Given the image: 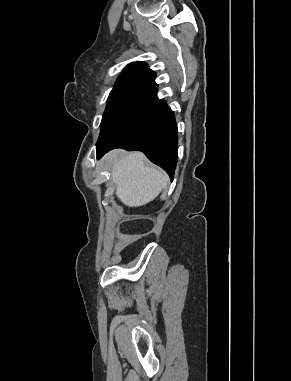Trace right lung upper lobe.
<instances>
[{
    "label": "right lung upper lobe",
    "mask_w": 291,
    "mask_h": 381,
    "mask_svg": "<svg viewBox=\"0 0 291 381\" xmlns=\"http://www.w3.org/2000/svg\"><path fill=\"white\" fill-rule=\"evenodd\" d=\"M153 73L154 72L150 70L146 65H143V62H132L124 68L122 74L116 82V85L131 79H142L145 75Z\"/></svg>",
    "instance_id": "obj_1"
}]
</instances>
